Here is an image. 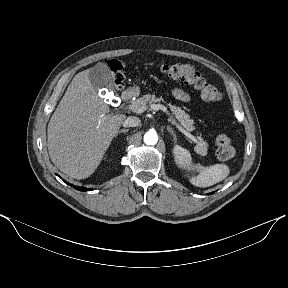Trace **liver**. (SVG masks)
<instances>
[{"mask_svg": "<svg viewBox=\"0 0 288 288\" xmlns=\"http://www.w3.org/2000/svg\"><path fill=\"white\" fill-rule=\"evenodd\" d=\"M88 74L89 70H84L75 75L47 128L52 162L79 180L94 173L126 118L110 112Z\"/></svg>", "mask_w": 288, "mask_h": 288, "instance_id": "obj_1", "label": "liver"}]
</instances>
